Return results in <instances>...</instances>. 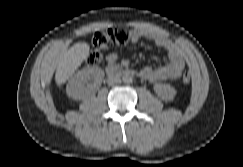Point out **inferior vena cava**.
Instances as JSON below:
<instances>
[{
  "label": "inferior vena cava",
  "instance_id": "inferior-vena-cava-1",
  "mask_svg": "<svg viewBox=\"0 0 243 167\" xmlns=\"http://www.w3.org/2000/svg\"><path fill=\"white\" fill-rule=\"evenodd\" d=\"M120 82H121V79L118 76H110V77H108V80H107V83L109 86H114Z\"/></svg>",
  "mask_w": 243,
  "mask_h": 167
}]
</instances>
